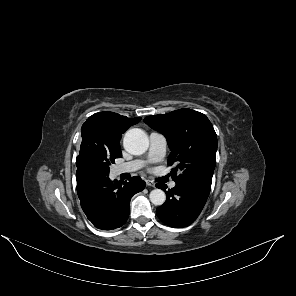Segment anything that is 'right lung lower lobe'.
Here are the masks:
<instances>
[{"label": "right lung lower lobe", "mask_w": 296, "mask_h": 296, "mask_svg": "<svg viewBox=\"0 0 296 296\" xmlns=\"http://www.w3.org/2000/svg\"><path fill=\"white\" fill-rule=\"evenodd\" d=\"M77 193L81 207L91 223L98 229L121 227L128 219L132 196L145 188L140 177L129 182H112L89 158L76 159Z\"/></svg>", "instance_id": "98d812e1"}]
</instances>
